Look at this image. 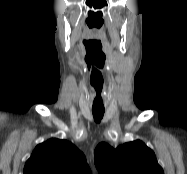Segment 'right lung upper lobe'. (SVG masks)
<instances>
[{
    "instance_id": "cb5924a9",
    "label": "right lung upper lobe",
    "mask_w": 187,
    "mask_h": 174,
    "mask_svg": "<svg viewBox=\"0 0 187 174\" xmlns=\"http://www.w3.org/2000/svg\"><path fill=\"white\" fill-rule=\"evenodd\" d=\"M24 174H91L84 154L71 142L50 139L27 160Z\"/></svg>"
}]
</instances>
